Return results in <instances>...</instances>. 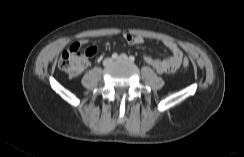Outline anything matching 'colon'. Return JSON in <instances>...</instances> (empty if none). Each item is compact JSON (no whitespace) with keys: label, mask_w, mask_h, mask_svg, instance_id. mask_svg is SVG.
Instances as JSON below:
<instances>
[{"label":"colon","mask_w":244,"mask_h":157,"mask_svg":"<svg viewBox=\"0 0 244 157\" xmlns=\"http://www.w3.org/2000/svg\"><path fill=\"white\" fill-rule=\"evenodd\" d=\"M94 48H87L81 51L78 44L73 45L68 50L64 51L58 61V66L66 72L70 77H77L87 66L88 58L94 54ZM190 60L184 57L182 65L187 68Z\"/></svg>","instance_id":"5ec220e1"}]
</instances>
